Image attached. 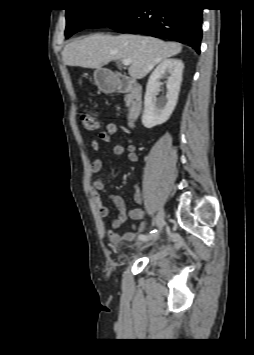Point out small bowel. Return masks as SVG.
<instances>
[{"label":"small bowel","mask_w":254,"mask_h":355,"mask_svg":"<svg viewBox=\"0 0 254 355\" xmlns=\"http://www.w3.org/2000/svg\"><path fill=\"white\" fill-rule=\"evenodd\" d=\"M121 129L127 136L126 145L117 144L113 147V154L116 156L127 155V158L131 162L137 161L138 157L136 154V148L131 136V132L125 126H120L116 123H109L104 131L98 134V140L91 141V149L94 152H99L101 149L100 141L110 142L112 135L116 134L118 130ZM103 162L101 159H96L91 163L90 170L92 173H99L102 170ZM102 194H106L117 210V215L113 218L107 228V235L109 241L113 245H119L125 242L133 241L137 234L145 229V211L141 208L127 209L124 199L117 194L110 192L104 185L102 179H95L92 183V197L94 203L98 209V213L101 218H107L109 216V209L104 205L102 200ZM134 201L137 204L142 203V194L137 186L134 187ZM132 219L137 221L132 229L124 231L122 233H117L116 229L120 227L127 219Z\"/></svg>","instance_id":"1"}]
</instances>
